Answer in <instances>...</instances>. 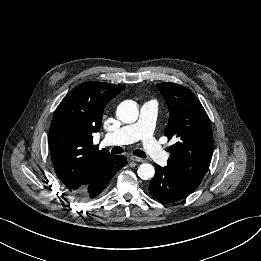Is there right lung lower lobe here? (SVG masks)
Here are the masks:
<instances>
[{"label": "right lung lower lobe", "mask_w": 261, "mask_h": 261, "mask_svg": "<svg viewBox=\"0 0 261 261\" xmlns=\"http://www.w3.org/2000/svg\"><path fill=\"white\" fill-rule=\"evenodd\" d=\"M123 155H111L97 166L90 182L73 194L79 199L90 200L101 196L112 177L126 164Z\"/></svg>", "instance_id": "98d812e1"}]
</instances>
